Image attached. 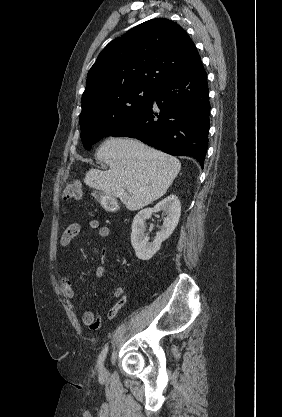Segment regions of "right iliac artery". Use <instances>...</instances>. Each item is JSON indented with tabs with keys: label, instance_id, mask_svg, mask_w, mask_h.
I'll list each match as a JSON object with an SVG mask.
<instances>
[{
	"label": "right iliac artery",
	"instance_id": "82829eb1",
	"mask_svg": "<svg viewBox=\"0 0 282 417\" xmlns=\"http://www.w3.org/2000/svg\"><path fill=\"white\" fill-rule=\"evenodd\" d=\"M107 352H108V346H105L98 357L97 365H98L99 370H102V365L107 355Z\"/></svg>",
	"mask_w": 282,
	"mask_h": 417
}]
</instances>
